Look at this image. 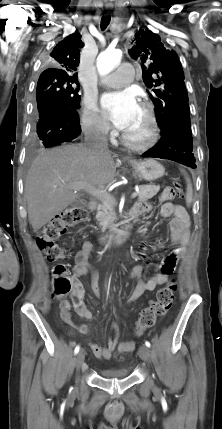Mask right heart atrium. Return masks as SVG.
<instances>
[{
  "mask_svg": "<svg viewBox=\"0 0 222 429\" xmlns=\"http://www.w3.org/2000/svg\"><path fill=\"white\" fill-rule=\"evenodd\" d=\"M81 123L84 131L90 135L105 136L109 132V124L91 97L83 101Z\"/></svg>",
  "mask_w": 222,
  "mask_h": 429,
  "instance_id": "obj_1",
  "label": "right heart atrium"
}]
</instances>
